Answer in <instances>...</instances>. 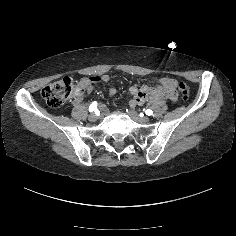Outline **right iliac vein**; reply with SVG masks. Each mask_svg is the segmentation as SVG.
Returning <instances> with one entry per match:
<instances>
[{
	"mask_svg": "<svg viewBox=\"0 0 236 236\" xmlns=\"http://www.w3.org/2000/svg\"><path fill=\"white\" fill-rule=\"evenodd\" d=\"M97 119H98V116H97L96 114H94V113H92V114L89 116V120H90L91 122H95V121H97Z\"/></svg>",
	"mask_w": 236,
	"mask_h": 236,
	"instance_id": "obj_1",
	"label": "right iliac vein"
}]
</instances>
